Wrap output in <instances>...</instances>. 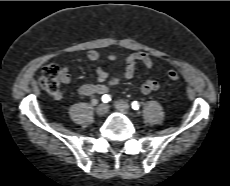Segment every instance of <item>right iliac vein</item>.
I'll return each instance as SVG.
<instances>
[{
  "label": "right iliac vein",
  "instance_id": "obj_1",
  "mask_svg": "<svg viewBox=\"0 0 230 186\" xmlns=\"http://www.w3.org/2000/svg\"><path fill=\"white\" fill-rule=\"evenodd\" d=\"M108 112V106L105 103H101L96 108V113L99 116H103Z\"/></svg>",
  "mask_w": 230,
  "mask_h": 186
}]
</instances>
